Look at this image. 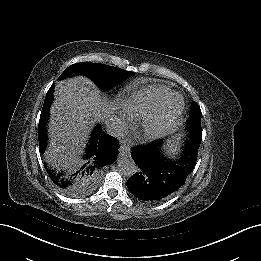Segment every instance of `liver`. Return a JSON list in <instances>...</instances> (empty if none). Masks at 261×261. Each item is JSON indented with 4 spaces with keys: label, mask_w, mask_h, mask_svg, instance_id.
Masks as SVG:
<instances>
[{
    "label": "liver",
    "mask_w": 261,
    "mask_h": 261,
    "mask_svg": "<svg viewBox=\"0 0 261 261\" xmlns=\"http://www.w3.org/2000/svg\"><path fill=\"white\" fill-rule=\"evenodd\" d=\"M54 98L45 160L57 168L65 160L75 163L81 159L95 124L112 117L117 107L102 97L97 86L85 76L59 82L55 86Z\"/></svg>",
    "instance_id": "liver-1"
}]
</instances>
